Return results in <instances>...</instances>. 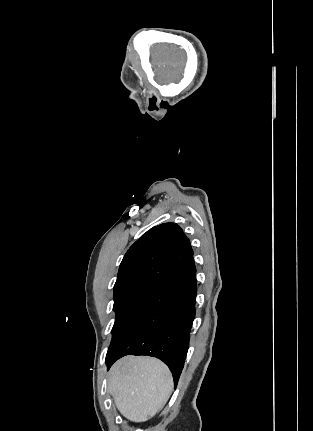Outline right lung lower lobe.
Here are the masks:
<instances>
[{
	"mask_svg": "<svg viewBox=\"0 0 313 431\" xmlns=\"http://www.w3.org/2000/svg\"><path fill=\"white\" fill-rule=\"evenodd\" d=\"M197 294L193 256L150 293L111 341L108 369L125 355L159 358L175 386L186 359Z\"/></svg>",
	"mask_w": 313,
	"mask_h": 431,
	"instance_id": "98d812e1",
	"label": "right lung lower lobe"
}]
</instances>
